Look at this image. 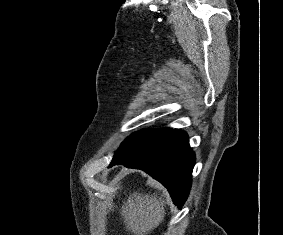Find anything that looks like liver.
<instances>
[{
	"mask_svg": "<svg viewBox=\"0 0 283 235\" xmlns=\"http://www.w3.org/2000/svg\"><path fill=\"white\" fill-rule=\"evenodd\" d=\"M164 197L169 199L167 193L161 194L160 198H157L156 194L130 195L121 209L126 229L133 235H148L157 228L165 215Z\"/></svg>",
	"mask_w": 283,
	"mask_h": 235,
	"instance_id": "6515ba94",
	"label": "liver"
}]
</instances>
